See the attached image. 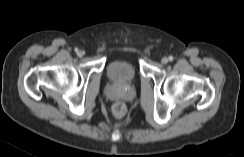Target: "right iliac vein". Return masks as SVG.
Instances as JSON below:
<instances>
[{
  "mask_svg": "<svg viewBox=\"0 0 244 157\" xmlns=\"http://www.w3.org/2000/svg\"><path fill=\"white\" fill-rule=\"evenodd\" d=\"M77 55H78L79 57H82V56L84 55V52H83V51H79V52L77 53Z\"/></svg>",
  "mask_w": 244,
  "mask_h": 157,
  "instance_id": "obj_1",
  "label": "right iliac vein"
}]
</instances>
